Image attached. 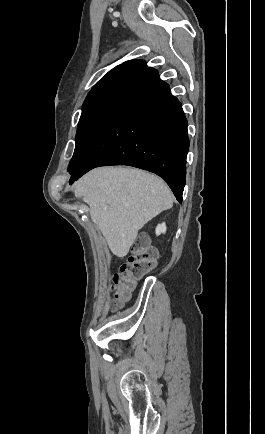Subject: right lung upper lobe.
<instances>
[{
  "mask_svg": "<svg viewBox=\"0 0 265 434\" xmlns=\"http://www.w3.org/2000/svg\"><path fill=\"white\" fill-rule=\"evenodd\" d=\"M146 68H147L146 62L143 60L126 61L116 66L112 70H110L101 80H105L120 75L135 76L137 73L145 70Z\"/></svg>",
  "mask_w": 265,
  "mask_h": 434,
  "instance_id": "cb5924a9",
  "label": "right lung upper lobe"
}]
</instances>
